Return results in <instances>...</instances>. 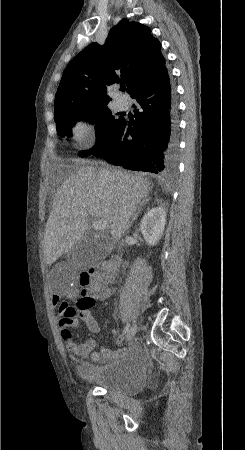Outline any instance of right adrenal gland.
Returning <instances> with one entry per match:
<instances>
[{
	"mask_svg": "<svg viewBox=\"0 0 245 450\" xmlns=\"http://www.w3.org/2000/svg\"><path fill=\"white\" fill-rule=\"evenodd\" d=\"M148 202H149V198H147V199H145L144 201H142V203L140 204V206H139V208H138V211L135 213V215H134V217H133V220L136 219V217L138 216V214H139L140 211H141V208H142L144 205H146Z\"/></svg>",
	"mask_w": 245,
	"mask_h": 450,
	"instance_id": "obj_1",
	"label": "right adrenal gland"
}]
</instances>
